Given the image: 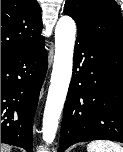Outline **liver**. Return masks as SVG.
I'll return each mask as SVG.
<instances>
[{
  "label": "liver",
  "instance_id": "1",
  "mask_svg": "<svg viewBox=\"0 0 123 152\" xmlns=\"http://www.w3.org/2000/svg\"><path fill=\"white\" fill-rule=\"evenodd\" d=\"M11 147L5 144H1V152H10Z\"/></svg>",
  "mask_w": 123,
  "mask_h": 152
}]
</instances>
